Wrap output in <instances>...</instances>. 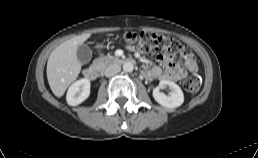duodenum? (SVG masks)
<instances>
[{
	"instance_id": "410a0bca",
	"label": "duodenum",
	"mask_w": 258,
	"mask_h": 158,
	"mask_svg": "<svg viewBox=\"0 0 258 158\" xmlns=\"http://www.w3.org/2000/svg\"><path fill=\"white\" fill-rule=\"evenodd\" d=\"M111 62L114 64H132L133 60L129 58H115ZM101 72L100 66H90L84 70V76L89 80H95L101 75Z\"/></svg>"
}]
</instances>
